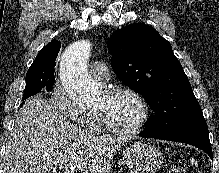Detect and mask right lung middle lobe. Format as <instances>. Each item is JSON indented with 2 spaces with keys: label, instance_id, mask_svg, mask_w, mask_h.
Masks as SVG:
<instances>
[{
  "label": "right lung middle lobe",
  "instance_id": "1",
  "mask_svg": "<svg viewBox=\"0 0 219 173\" xmlns=\"http://www.w3.org/2000/svg\"><path fill=\"white\" fill-rule=\"evenodd\" d=\"M55 82V75L45 72L39 66H30L26 74V87L23 100L35 95L41 90H51Z\"/></svg>",
  "mask_w": 219,
  "mask_h": 173
}]
</instances>
